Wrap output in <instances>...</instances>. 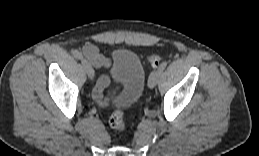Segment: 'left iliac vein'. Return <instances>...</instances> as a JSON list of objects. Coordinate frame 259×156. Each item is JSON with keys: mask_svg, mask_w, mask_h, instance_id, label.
<instances>
[{"mask_svg": "<svg viewBox=\"0 0 259 156\" xmlns=\"http://www.w3.org/2000/svg\"><path fill=\"white\" fill-rule=\"evenodd\" d=\"M157 75H159L158 70L153 71V72L150 74L149 80H148V86H149V88L153 89V88L156 86V84H155V79H156Z\"/></svg>", "mask_w": 259, "mask_h": 156, "instance_id": "obj_1", "label": "left iliac vein"}]
</instances>
